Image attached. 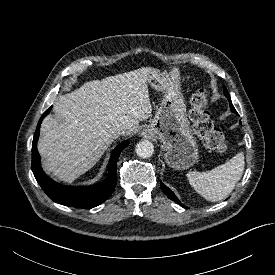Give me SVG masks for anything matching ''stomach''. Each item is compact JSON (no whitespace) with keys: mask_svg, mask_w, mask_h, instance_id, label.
<instances>
[{"mask_svg":"<svg viewBox=\"0 0 275 275\" xmlns=\"http://www.w3.org/2000/svg\"><path fill=\"white\" fill-rule=\"evenodd\" d=\"M150 85L163 93L160 107L143 131L160 140L166 163L177 170L188 169L198 160V146L186 115V104L181 92L180 73L153 69Z\"/></svg>","mask_w":275,"mask_h":275,"instance_id":"1","label":"stomach"}]
</instances>
